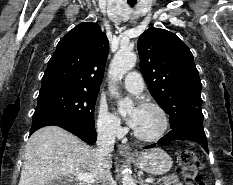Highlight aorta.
<instances>
[{"label":"aorta","instance_id":"762f6f07","mask_svg":"<svg viewBox=\"0 0 233 185\" xmlns=\"http://www.w3.org/2000/svg\"><path fill=\"white\" fill-rule=\"evenodd\" d=\"M137 61V56L135 53L130 51L119 50L114 56L110 68L109 77L112 82L121 80L123 76L131 70ZM109 90L111 94L116 98H119V94L113 85H110ZM118 112L121 116H126L127 113L134 107L133 102L130 99H119L117 102ZM123 185H135L129 173L123 174L122 177Z\"/></svg>","mask_w":233,"mask_h":185}]
</instances>
